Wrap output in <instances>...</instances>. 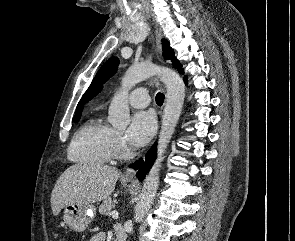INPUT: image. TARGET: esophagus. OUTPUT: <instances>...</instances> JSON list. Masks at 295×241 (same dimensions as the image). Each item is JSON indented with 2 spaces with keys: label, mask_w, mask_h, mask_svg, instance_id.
<instances>
[{
  "label": "esophagus",
  "mask_w": 295,
  "mask_h": 241,
  "mask_svg": "<svg viewBox=\"0 0 295 241\" xmlns=\"http://www.w3.org/2000/svg\"><path fill=\"white\" fill-rule=\"evenodd\" d=\"M155 35H156L157 49H158V52L161 54V34L157 28L155 30ZM135 175H136V170L129 168L123 173L122 177L126 179H133Z\"/></svg>",
  "instance_id": "1"
}]
</instances>
